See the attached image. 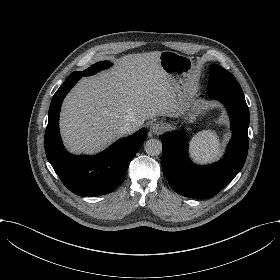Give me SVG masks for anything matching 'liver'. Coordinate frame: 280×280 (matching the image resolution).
I'll return each instance as SVG.
<instances>
[{
	"label": "liver",
	"instance_id": "6515ba94",
	"mask_svg": "<svg viewBox=\"0 0 280 280\" xmlns=\"http://www.w3.org/2000/svg\"><path fill=\"white\" fill-rule=\"evenodd\" d=\"M158 51L128 54L115 67L83 78L66 96L60 130L67 149L96 153L118 138L126 123L177 117L179 103Z\"/></svg>",
	"mask_w": 280,
	"mask_h": 280
}]
</instances>
